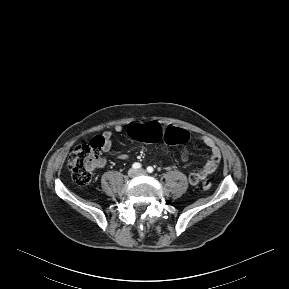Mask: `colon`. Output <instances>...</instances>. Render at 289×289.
<instances>
[{"mask_svg":"<svg viewBox=\"0 0 289 289\" xmlns=\"http://www.w3.org/2000/svg\"><path fill=\"white\" fill-rule=\"evenodd\" d=\"M128 134L140 142L155 143L164 140L169 144L185 142L189 137L185 129L167 128L162 121L133 122L128 127ZM103 145L102 136H97L87 144L78 145L71 152L68 158V168L75 184L84 186L90 182L93 170L101 163ZM211 186L210 180L202 183L203 190H209Z\"/></svg>","mask_w":289,"mask_h":289,"instance_id":"obj_1","label":"colon"}]
</instances>
